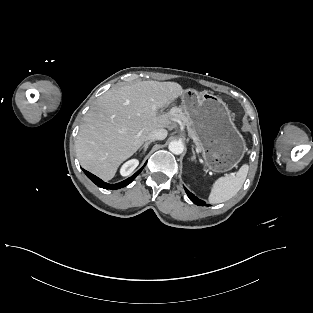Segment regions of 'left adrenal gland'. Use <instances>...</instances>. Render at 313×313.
I'll return each mask as SVG.
<instances>
[{"label":"left adrenal gland","instance_id":"1","mask_svg":"<svg viewBox=\"0 0 313 313\" xmlns=\"http://www.w3.org/2000/svg\"><path fill=\"white\" fill-rule=\"evenodd\" d=\"M192 153H193V156L191 157V160L196 162V155H195V151L193 148H192Z\"/></svg>","mask_w":313,"mask_h":313}]
</instances>
